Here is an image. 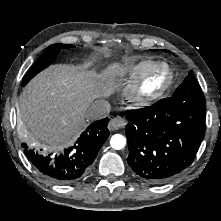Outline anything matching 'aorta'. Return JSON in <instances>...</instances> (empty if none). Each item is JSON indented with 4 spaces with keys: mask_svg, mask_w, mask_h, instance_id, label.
Returning a JSON list of instances; mask_svg holds the SVG:
<instances>
[{
    "mask_svg": "<svg viewBox=\"0 0 221 221\" xmlns=\"http://www.w3.org/2000/svg\"><path fill=\"white\" fill-rule=\"evenodd\" d=\"M110 145L113 149L120 150L126 145V139L121 134H115L110 139Z\"/></svg>",
    "mask_w": 221,
    "mask_h": 221,
    "instance_id": "obj_1",
    "label": "aorta"
}]
</instances>
